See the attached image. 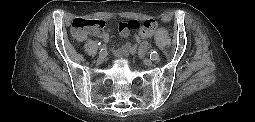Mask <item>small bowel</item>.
<instances>
[{
  "mask_svg": "<svg viewBox=\"0 0 255 122\" xmlns=\"http://www.w3.org/2000/svg\"><path fill=\"white\" fill-rule=\"evenodd\" d=\"M119 31H120V35L122 37H127L130 32V30L128 28H126L125 26L120 27ZM89 34L96 35V36L102 38L105 43H107L109 41V37H110L109 33L106 31L91 30L90 32H86L80 40L86 39ZM148 38H150V36L143 37L138 32L135 35V39L137 42L136 45H132L130 43H124L123 45H121L119 48H117L115 50V53L121 57L127 56L129 54H135L136 52H138L139 54H143L149 47V42L147 41Z\"/></svg>",
  "mask_w": 255,
  "mask_h": 122,
  "instance_id": "c3829d8e",
  "label": "small bowel"
}]
</instances>
